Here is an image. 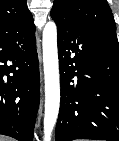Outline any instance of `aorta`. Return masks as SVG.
<instances>
[{"label":"aorta","mask_w":119,"mask_h":141,"mask_svg":"<svg viewBox=\"0 0 119 141\" xmlns=\"http://www.w3.org/2000/svg\"><path fill=\"white\" fill-rule=\"evenodd\" d=\"M42 46L45 75L44 139L50 141L60 106L57 27L53 21L44 27Z\"/></svg>","instance_id":"aorta-1"}]
</instances>
